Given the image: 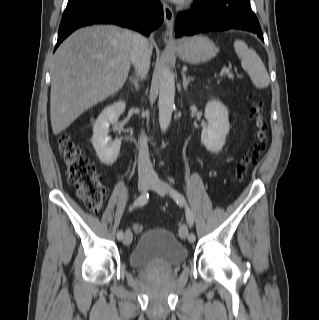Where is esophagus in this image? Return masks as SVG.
Here are the masks:
<instances>
[{"instance_id": "esophagus-1", "label": "esophagus", "mask_w": 319, "mask_h": 320, "mask_svg": "<svg viewBox=\"0 0 319 320\" xmlns=\"http://www.w3.org/2000/svg\"><path fill=\"white\" fill-rule=\"evenodd\" d=\"M163 11H164V22L166 25L165 41L172 42L173 38V26H174V13L172 8L166 3L163 2Z\"/></svg>"}]
</instances>
